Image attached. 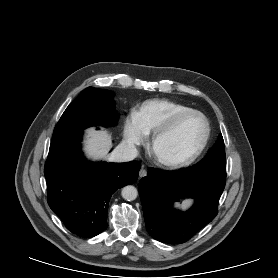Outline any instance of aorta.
I'll use <instances>...</instances> for the list:
<instances>
[{"label": "aorta", "mask_w": 278, "mask_h": 278, "mask_svg": "<svg viewBox=\"0 0 278 278\" xmlns=\"http://www.w3.org/2000/svg\"><path fill=\"white\" fill-rule=\"evenodd\" d=\"M121 194L125 200L133 201L137 198L138 191L134 186L128 185L123 187Z\"/></svg>", "instance_id": "762f6f07"}]
</instances>
